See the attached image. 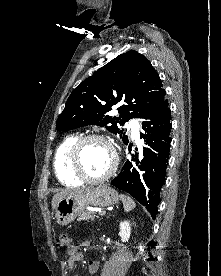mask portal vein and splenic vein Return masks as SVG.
<instances>
[{"instance_id":"18ae733b","label":"portal vein and splenic vein","mask_w":221,"mask_h":276,"mask_svg":"<svg viewBox=\"0 0 221 276\" xmlns=\"http://www.w3.org/2000/svg\"><path fill=\"white\" fill-rule=\"evenodd\" d=\"M106 212H99V215H105Z\"/></svg>"}]
</instances>
